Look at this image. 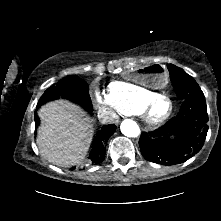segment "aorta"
I'll list each match as a JSON object with an SVG mask.
<instances>
[{
	"label": "aorta",
	"mask_w": 221,
	"mask_h": 221,
	"mask_svg": "<svg viewBox=\"0 0 221 221\" xmlns=\"http://www.w3.org/2000/svg\"><path fill=\"white\" fill-rule=\"evenodd\" d=\"M120 129L122 134L127 137L136 138L140 134V128L138 124L131 119H125L124 121H122Z\"/></svg>",
	"instance_id": "1"
}]
</instances>
